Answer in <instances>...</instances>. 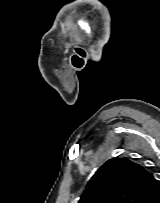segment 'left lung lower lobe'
I'll return each mask as SVG.
<instances>
[{"mask_svg": "<svg viewBox=\"0 0 160 203\" xmlns=\"http://www.w3.org/2000/svg\"><path fill=\"white\" fill-rule=\"evenodd\" d=\"M157 203H160V199L157 201Z\"/></svg>", "mask_w": 160, "mask_h": 203, "instance_id": "obj_1", "label": "left lung lower lobe"}]
</instances>
